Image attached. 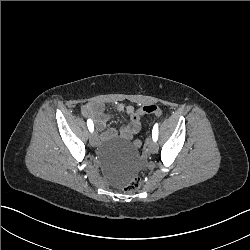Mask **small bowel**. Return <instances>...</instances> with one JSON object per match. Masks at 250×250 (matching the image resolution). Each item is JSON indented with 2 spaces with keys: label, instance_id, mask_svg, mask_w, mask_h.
<instances>
[{
  "label": "small bowel",
  "instance_id": "1",
  "mask_svg": "<svg viewBox=\"0 0 250 250\" xmlns=\"http://www.w3.org/2000/svg\"><path fill=\"white\" fill-rule=\"evenodd\" d=\"M118 111L120 113L126 114L130 118L129 123H125L120 127L119 134L125 140H131L134 135H136L141 128L140 121L134 122L131 119V114L134 111H139L142 114V110L134 109L131 106H127L124 104H120L118 106ZM81 113L83 116L87 118H91L96 126L98 131L104 130L106 123L109 119H111V115L105 112L104 105L102 103H87L82 106ZM116 134L114 129L108 131V137L112 138Z\"/></svg>",
  "mask_w": 250,
  "mask_h": 250
}]
</instances>
